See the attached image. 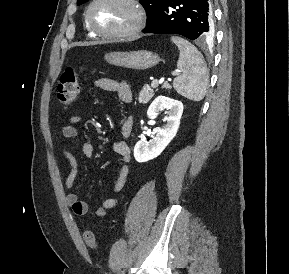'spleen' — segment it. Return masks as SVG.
<instances>
[{
    "label": "spleen",
    "instance_id": "1",
    "mask_svg": "<svg viewBox=\"0 0 289 274\" xmlns=\"http://www.w3.org/2000/svg\"><path fill=\"white\" fill-rule=\"evenodd\" d=\"M171 39L180 51L177 68L181 71L174 79L173 87L182 96L200 101L208 85V70L203 56L189 41L178 36H172Z\"/></svg>",
    "mask_w": 289,
    "mask_h": 274
}]
</instances>
